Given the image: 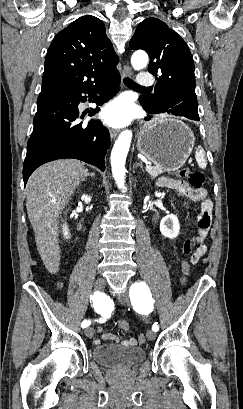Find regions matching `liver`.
<instances>
[{"instance_id":"obj_1","label":"liver","mask_w":243,"mask_h":409,"mask_svg":"<svg viewBox=\"0 0 243 409\" xmlns=\"http://www.w3.org/2000/svg\"><path fill=\"white\" fill-rule=\"evenodd\" d=\"M88 171L78 160L63 159L36 169L26 185V208L33 227L37 250L46 269L59 270L58 219Z\"/></svg>"}]
</instances>
